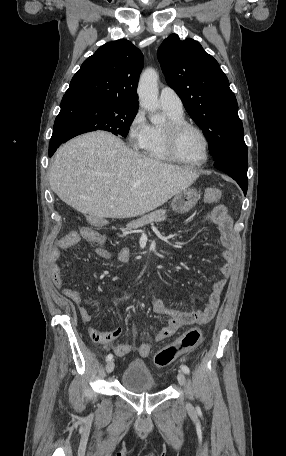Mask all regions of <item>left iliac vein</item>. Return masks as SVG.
I'll return each instance as SVG.
<instances>
[{
    "instance_id": "1",
    "label": "left iliac vein",
    "mask_w": 286,
    "mask_h": 456,
    "mask_svg": "<svg viewBox=\"0 0 286 456\" xmlns=\"http://www.w3.org/2000/svg\"><path fill=\"white\" fill-rule=\"evenodd\" d=\"M177 380L181 386L185 385L186 378H185V375L183 374V372H181V371L178 372ZM188 406H190V405L188 404Z\"/></svg>"
}]
</instances>
